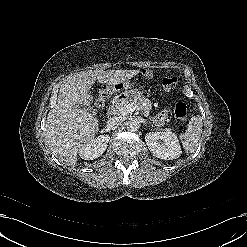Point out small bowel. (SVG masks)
Wrapping results in <instances>:
<instances>
[{"instance_id": "1", "label": "small bowel", "mask_w": 247, "mask_h": 247, "mask_svg": "<svg viewBox=\"0 0 247 247\" xmlns=\"http://www.w3.org/2000/svg\"><path fill=\"white\" fill-rule=\"evenodd\" d=\"M143 76L146 80H151L154 76V72L152 70H146L143 73ZM166 117V111H161L158 115H157V122L158 123H162L164 121Z\"/></svg>"}]
</instances>
